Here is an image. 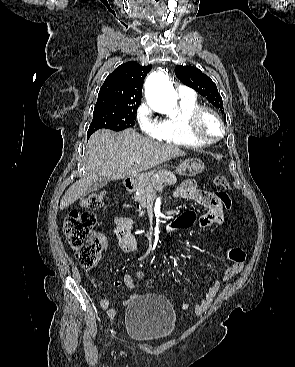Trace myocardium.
<instances>
[{
    "instance_id": "myocardium-1",
    "label": "myocardium",
    "mask_w": 295,
    "mask_h": 367,
    "mask_svg": "<svg viewBox=\"0 0 295 367\" xmlns=\"http://www.w3.org/2000/svg\"><path fill=\"white\" fill-rule=\"evenodd\" d=\"M206 115H211L220 126V134L214 138L207 137L202 131V121ZM187 126L191 136L205 145L214 144L220 141L225 135V124L221 116L212 108L199 106L188 117Z\"/></svg>"
}]
</instances>
